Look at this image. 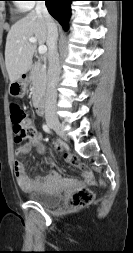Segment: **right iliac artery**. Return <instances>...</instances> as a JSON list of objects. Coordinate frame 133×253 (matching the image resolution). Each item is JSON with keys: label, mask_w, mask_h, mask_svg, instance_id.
<instances>
[{"label": "right iliac artery", "mask_w": 133, "mask_h": 253, "mask_svg": "<svg viewBox=\"0 0 133 253\" xmlns=\"http://www.w3.org/2000/svg\"><path fill=\"white\" fill-rule=\"evenodd\" d=\"M43 130L47 133H51L50 127L47 124H43Z\"/></svg>", "instance_id": "obj_1"}]
</instances>
